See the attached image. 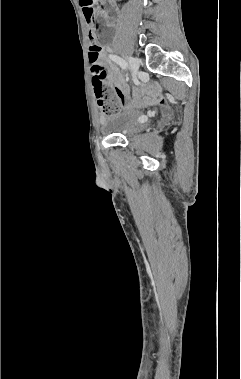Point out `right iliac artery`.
<instances>
[{
	"instance_id": "82829eb1",
	"label": "right iliac artery",
	"mask_w": 241,
	"mask_h": 379,
	"mask_svg": "<svg viewBox=\"0 0 241 379\" xmlns=\"http://www.w3.org/2000/svg\"><path fill=\"white\" fill-rule=\"evenodd\" d=\"M109 57L112 61L117 63L122 69H124V70L128 69L127 62L125 60H123L122 58H120L119 56L114 55V54H110Z\"/></svg>"
}]
</instances>
